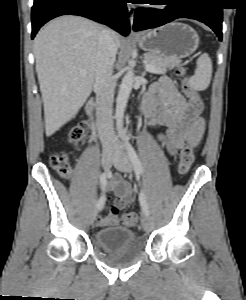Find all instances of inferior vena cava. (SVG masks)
<instances>
[{"label":"inferior vena cava","instance_id":"1","mask_svg":"<svg viewBox=\"0 0 246 300\" xmlns=\"http://www.w3.org/2000/svg\"><path fill=\"white\" fill-rule=\"evenodd\" d=\"M117 45L109 29H102L98 37L94 91L96 93V124L103 151L108 152L118 144L113 131L112 106L116 81L113 66Z\"/></svg>","mask_w":246,"mask_h":300}]
</instances>
